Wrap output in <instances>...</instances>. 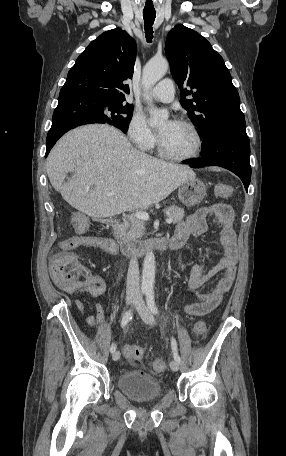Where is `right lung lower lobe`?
I'll return each instance as SVG.
<instances>
[{"mask_svg": "<svg viewBox=\"0 0 286 456\" xmlns=\"http://www.w3.org/2000/svg\"><path fill=\"white\" fill-rule=\"evenodd\" d=\"M93 100V96L84 91L74 88L61 89L58 106L54 110L52 126L46 139L45 157L64 133L85 124L84 111Z\"/></svg>", "mask_w": 286, "mask_h": 456, "instance_id": "right-lung-lower-lobe-1", "label": "right lung lower lobe"}]
</instances>
